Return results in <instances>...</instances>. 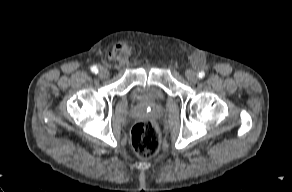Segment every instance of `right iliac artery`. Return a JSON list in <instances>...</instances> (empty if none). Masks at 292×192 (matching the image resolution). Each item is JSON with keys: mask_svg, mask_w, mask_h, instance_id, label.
Returning <instances> with one entry per match:
<instances>
[{"mask_svg": "<svg viewBox=\"0 0 292 192\" xmlns=\"http://www.w3.org/2000/svg\"><path fill=\"white\" fill-rule=\"evenodd\" d=\"M91 71H92L93 73H98V68H97L96 66H92V67H91Z\"/></svg>", "mask_w": 292, "mask_h": 192, "instance_id": "82829eb1", "label": "right iliac artery"}]
</instances>
